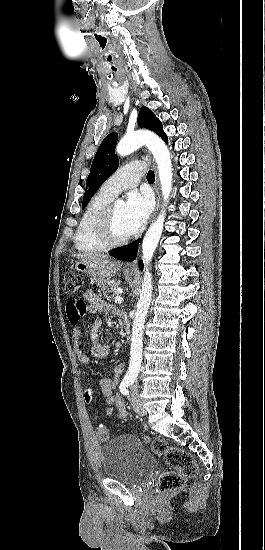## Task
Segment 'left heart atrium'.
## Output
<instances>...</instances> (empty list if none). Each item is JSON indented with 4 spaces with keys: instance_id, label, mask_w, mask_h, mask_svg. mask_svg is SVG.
<instances>
[{
    "instance_id": "left-heart-atrium-1",
    "label": "left heart atrium",
    "mask_w": 265,
    "mask_h": 550,
    "mask_svg": "<svg viewBox=\"0 0 265 550\" xmlns=\"http://www.w3.org/2000/svg\"><path fill=\"white\" fill-rule=\"evenodd\" d=\"M152 210L149 195L132 192L128 195L125 205V219L130 234L140 230L147 222Z\"/></svg>"
}]
</instances>
